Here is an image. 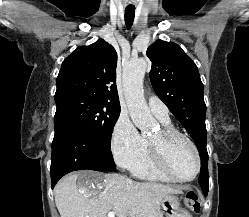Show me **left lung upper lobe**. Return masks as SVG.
I'll list each match as a JSON object with an SVG mask.
<instances>
[{
    "mask_svg": "<svg viewBox=\"0 0 249 217\" xmlns=\"http://www.w3.org/2000/svg\"><path fill=\"white\" fill-rule=\"evenodd\" d=\"M152 62L151 84L158 97L190 133L198 148L201 167L208 171L206 105L198 68L173 42L158 40L147 49Z\"/></svg>",
    "mask_w": 249,
    "mask_h": 217,
    "instance_id": "5c2ea615",
    "label": "left lung upper lobe"
}]
</instances>
